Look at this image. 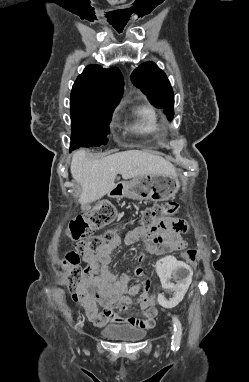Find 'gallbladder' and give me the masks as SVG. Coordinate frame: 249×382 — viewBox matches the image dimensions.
Returning <instances> with one entry per match:
<instances>
[{
	"instance_id": "1",
	"label": "gallbladder",
	"mask_w": 249,
	"mask_h": 382,
	"mask_svg": "<svg viewBox=\"0 0 249 382\" xmlns=\"http://www.w3.org/2000/svg\"><path fill=\"white\" fill-rule=\"evenodd\" d=\"M91 208V206L89 205V204H86V205H84L83 206V211H87V210H89Z\"/></svg>"
}]
</instances>
